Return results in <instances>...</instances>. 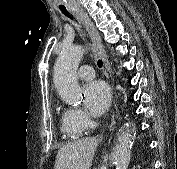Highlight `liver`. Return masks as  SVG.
Segmentation results:
<instances>
[{"instance_id":"obj_1","label":"liver","mask_w":177,"mask_h":169,"mask_svg":"<svg viewBox=\"0 0 177 169\" xmlns=\"http://www.w3.org/2000/svg\"><path fill=\"white\" fill-rule=\"evenodd\" d=\"M98 144L96 138L66 144L57 153L54 169H90Z\"/></svg>"}]
</instances>
